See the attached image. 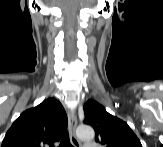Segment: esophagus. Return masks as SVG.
Masks as SVG:
<instances>
[{
    "label": "esophagus",
    "mask_w": 163,
    "mask_h": 147,
    "mask_svg": "<svg viewBox=\"0 0 163 147\" xmlns=\"http://www.w3.org/2000/svg\"><path fill=\"white\" fill-rule=\"evenodd\" d=\"M70 141L74 147H80L81 141L76 137L77 117L73 110H68Z\"/></svg>",
    "instance_id": "esophagus-1"
}]
</instances>
